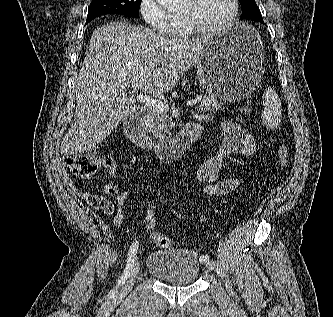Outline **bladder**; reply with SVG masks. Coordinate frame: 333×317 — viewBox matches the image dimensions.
I'll use <instances>...</instances> for the list:
<instances>
[{
	"instance_id": "1",
	"label": "bladder",
	"mask_w": 333,
	"mask_h": 317,
	"mask_svg": "<svg viewBox=\"0 0 333 317\" xmlns=\"http://www.w3.org/2000/svg\"><path fill=\"white\" fill-rule=\"evenodd\" d=\"M146 270L162 282L190 285L200 276L201 262L198 254L190 249L156 250L148 254Z\"/></svg>"
}]
</instances>
